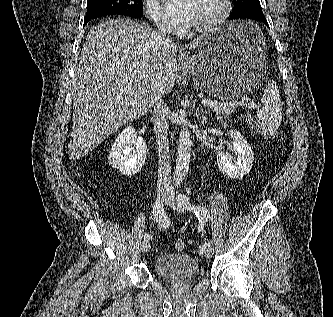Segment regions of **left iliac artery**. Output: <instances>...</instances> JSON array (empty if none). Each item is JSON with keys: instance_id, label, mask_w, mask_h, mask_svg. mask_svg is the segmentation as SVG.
Segmentation results:
<instances>
[{"instance_id": "1", "label": "left iliac artery", "mask_w": 333, "mask_h": 317, "mask_svg": "<svg viewBox=\"0 0 333 317\" xmlns=\"http://www.w3.org/2000/svg\"><path fill=\"white\" fill-rule=\"evenodd\" d=\"M177 202L180 206L193 211L199 220L207 221L208 219H210L209 211L203 206L191 205L188 196H186L185 194H179L177 196ZM204 250H205V245L202 246L200 254H203Z\"/></svg>"}]
</instances>
